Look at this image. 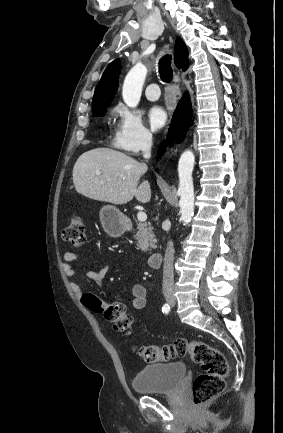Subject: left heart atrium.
<instances>
[{
  "label": "left heart atrium",
  "mask_w": 283,
  "mask_h": 433,
  "mask_svg": "<svg viewBox=\"0 0 283 433\" xmlns=\"http://www.w3.org/2000/svg\"><path fill=\"white\" fill-rule=\"evenodd\" d=\"M166 112L161 107H153L149 110L148 121L152 130H160L166 123Z\"/></svg>",
  "instance_id": "obj_1"
}]
</instances>
